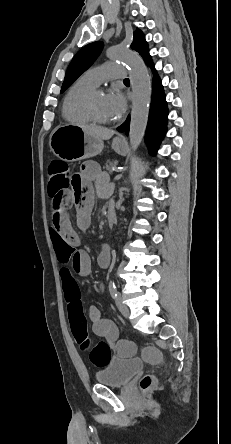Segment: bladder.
Here are the masks:
<instances>
[{
	"instance_id": "1",
	"label": "bladder",
	"mask_w": 231,
	"mask_h": 444,
	"mask_svg": "<svg viewBox=\"0 0 231 444\" xmlns=\"http://www.w3.org/2000/svg\"><path fill=\"white\" fill-rule=\"evenodd\" d=\"M142 369L143 363L138 359L111 357L107 364L96 373L95 377L100 385L121 387L127 384Z\"/></svg>"
}]
</instances>
